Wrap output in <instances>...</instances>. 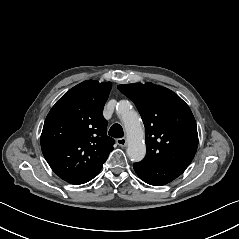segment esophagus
Listing matches in <instances>:
<instances>
[{
  "mask_svg": "<svg viewBox=\"0 0 239 239\" xmlns=\"http://www.w3.org/2000/svg\"><path fill=\"white\" fill-rule=\"evenodd\" d=\"M116 142L121 147H125L127 145V139L126 138H119V139H117Z\"/></svg>",
  "mask_w": 239,
  "mask_h": 239,
  "instance_id": "34e87169",
  "label": "esophagus"
}]
</instances>
